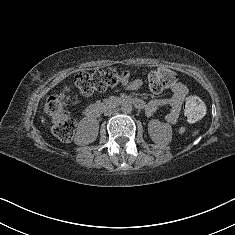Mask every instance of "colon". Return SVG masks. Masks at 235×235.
<instances>
[{
    "instance_id": "obj_1",
    "label": "colon",
    "mask_w": 235,
    "mask_h": 235,
    "mask_svg": "<svg viewBox=\"0 0 235 235\" xmlns=\"http://www.w3.org/2000/svg\"><path fill=\"white\" fill-rule=\"evenodd\" d=\"M128 79L127 72H118L114 69H95L91 72L78 73L74 78L73 88L84 96H91L116 85H125L128 83ZM175 82V73L167 68H157L148 75V85L153 93H161L174 85ZM70 90L72 87H67V91ZM204 111V104L198 97L189 96L185 99L183 112L188 121H198L204 115ZM45 113L53 121V134L62 141H70L76 128V122L63 108L58 97L51 96L47 99Z\"/></svg>"
}]
</instances>
